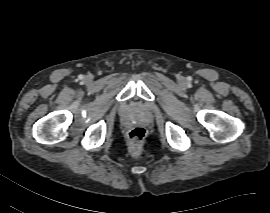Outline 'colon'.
Returning a JSON list of instances; mask_svg holds the SVG:
<instances>
[{
    "instance_id": "1",
    "label": "colon",
    "mask_w": 270,
    "mask_h": 213,
    "mask_svg": "<svg viewBox=\"0 0 270 213\" xmlns=\"http://www.w3.org/2000/svg\"><path fill=\"white\" fill-rule=\"evenodd\" d=\"M146 130L142 127L132 129L128 134V145L132 156H138L146 140Z\"/></svg>"
}]
</instances>
